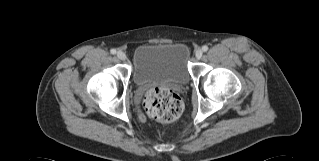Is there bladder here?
I'll list each match as a JSON object with an SVG mask.
<instances>
[{
  "label": "bladder",
  "mask_w": 319,
  "mask_h": 161,
  "mask_svg": "<svg viewBox=\"0 0 319 161\" xmlns=\"http://www.w3.org/2000/svg\"><path fill=\"white\" fill-rule=\"evenodd\" d=\"M190 52L181 43H144L134 51V79L138 85H186L191 79Z\"/></svg>",
  "instance_id": "31cf9c89"
}]
</instances>
